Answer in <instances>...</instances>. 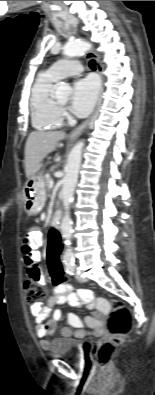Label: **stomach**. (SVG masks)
Masks as SVG:
<instances>
[{
	"instance_id": "stomach-1",
	"label": "stomach",
	"mask_w": 155,
	"mask_h": 395,
	"mask_svg": "<svg viewBox=\"0 0 155 395\" xmlns=\"http://www.w3.org/2000/svg\"><path fill=\"white\" fill-rule=\"evenodd\" d=\"M24 207L30 214L39 213L46 201V189L42 176L35 171L28 179L23 190Z\"/></svg>"
}]
</instances>
